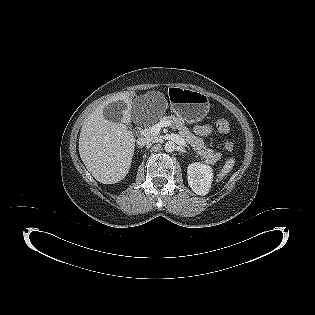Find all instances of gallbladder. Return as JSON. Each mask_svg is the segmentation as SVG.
<instances>
[{
	"instance_id": "obj_1",
	"label": "gallbladder",
	"mask_w": 315,
	"mask_h": 315,
	"mask_svg": "<svg viewBox=\"0 0 315 315\" xmlns=\"http://www.w3.org/2000/svg\"><path fill=\"white\" fill-rule=\"evenodd\" d=\"M126 106L123 101H117L107 104L103 109L104 117L111 122L120 123L123 120V111Z\"/></svg>"
}]
</instances>
